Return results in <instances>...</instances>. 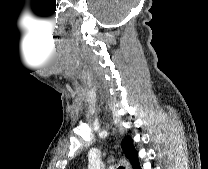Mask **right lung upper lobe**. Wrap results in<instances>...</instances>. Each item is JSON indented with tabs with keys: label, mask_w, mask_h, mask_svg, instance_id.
I'll return each mask as SVG.
<instances>
[{
	"label": "right lung upper lobe",
	"mask_w": 208,
	"mask_h": 169,
	"mask_svg": "<svg viewBox=\"0 0 208 169\" xmlns=\"http://www.w3.org/2000/svg\"><path fill=\"white\" fill-rule=\"evenodd\" d=\"M122 149L125 153V156L129 159L132 166H135L138 162V153L136 152L135 147L133 146V140L131 137L127 136L122 141Z\"/></svg>",
	"instance_id": "obj_1"
}]
</instances>
